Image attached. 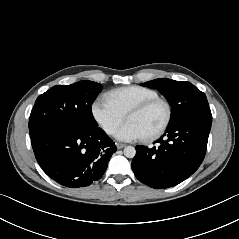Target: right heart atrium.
I'll list each match as a JSON object with an SVG mask.
<instances>
[{
  "label": "right heart atrium",
  "instance_id": "d8ad5b80",
  "mask_svg": "<svg viewBox=\"0 0 239 239\" xmlns=\"http://www.w3.org/2000/svg\"><path fill=\"white\" fill-rule=\"evenodd\" d=\"M91 111L97 124L109 135L114 134L125 119V114L105 96L93 102Z\"/></svg>",
  "mask_w": 239,
  "mask_h": 239
}]
</instances>
